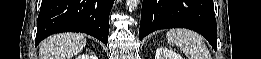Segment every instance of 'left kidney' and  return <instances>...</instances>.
<instances>
[{
    "instance_id": "1",
    "label": "left kidney",
    "mask_w": 261,
    "mask_h": 59,
    "mask_svg": "<svg viewBox=\"0 0 261 59\" xmlns=\"http://www.w3.org/2000/svg\"><path fill=\"white\" fill-rule=\"evenodd\" d=\"M155 59H183V57L173 50H169L165 47H160L156 50Z\"/></svg>"
}]
</instances>
